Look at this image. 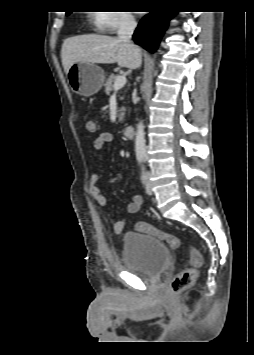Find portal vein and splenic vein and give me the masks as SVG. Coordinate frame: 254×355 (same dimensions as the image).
<instances>
[{
  "mask_svg": "<svg viewBox=\"0 0 254 355\" xmlns=\"http://www.w3.org/2000/svg\"><path fill=\"white\" fill-rule=\"evenodd\" d=\"M126 81L127 79L125 75L118 76L114 82V89H121L126 84Z\"/></svg>",
  "mask_w": 254,
  "mask_h": 355,
  "instance_id": "1",
  "label": "portal vein and splenic vein"
}]
</instances>
